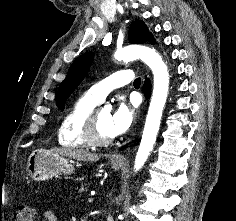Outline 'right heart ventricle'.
<instances>
[{"label": "right heart ventricle", "instance_id": "1", "mask_svg": "<svg viewBox=\"0 0 236 221\" xmlns=\"http://www.w3.org/2000/svg\"><path fill=\"white\" fill-rule=\"evenodd\" d=\"M99 102L87 93L80 96L64 114L58 128V143L67 149H88L90 145L83 136L86 118Z\"/></svg>", "mask_w": 236, "mask_h": 221}]
</instances>
